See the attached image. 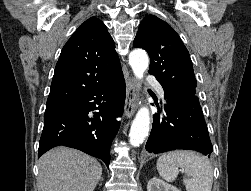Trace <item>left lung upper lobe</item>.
I'll return each instance as SVG.
<instances>
[{
	"instance_id": "obj_1",
	"label": "left lung upper lobe",
	"mask_w": 251,
	"mask_h": 191,
	"mask_svg": "<svg viewBox=\"0 0 251 191\" xmlns=\"http://www.w3.org/2000/svg\"><path fill=\"white\" fill-rule=\"evenodd\" d=\"M133 45L148 52L149 73L162 85L165 98L196 95L197 81L189 52L169 24L154 15L146 16Z\"/></svg>"
}]
</instances>
